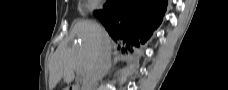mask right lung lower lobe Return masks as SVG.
I'll return each mask as SVG.
<instances>
[{
  "mask_svg": "<svg viewBox=\"0 0 228 90\" xmlns=\"http://www.w3.org/2000/svg\"><path fill=\"white\" fill-rule=\"evenodd\" d=\"M167 0H108L105 11L94 15L118 43V48L131 54L145 43L161 23Z\"/></svg>",
  "mask_w": 228,
  "mask_h": 90,
  "instance_id": "98d812e1",
  "label": "right lung lower lobe"
}]
</instances>
